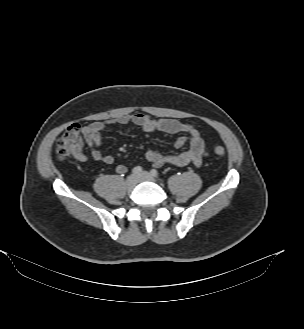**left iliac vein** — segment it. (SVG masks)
Segmentation results:
<instances>
[{
  "label": "left iliac vein",
  "instance_id": "1",
  "mask_svg": "<svg viewBox=\"0 0 304 329\" xmlns=\"http://www.w3.org/2000/svg\"><path fill=\"white\" fill-rule=\"evenodd\" d=\"M136 177L138 182H142V181L156 182V179L148 172H142L138 174Z\"/></svg>",
  "mask_w": 304,
  "mask_h": 329
}]
</instances>
